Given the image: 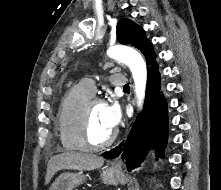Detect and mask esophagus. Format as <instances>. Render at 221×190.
I'll use <instances>...</instances> for the list:
<instances>
[{"instance_id": "esophagus-1", "label": "esophagus", "mask_w": 221, "mask_h": 190, "mask_svg": "<svg viewBox=\"0 0 221 190\" xmlns=\"http://www.w3.org/2000/svg\"><path fill=\"white\" fill-rule=\"evenodd\" d=\"M121 165H122V161L120 159H117V160L114 161L111 168L114 169V170H120Z\"/></svg>"}]
</instances>
